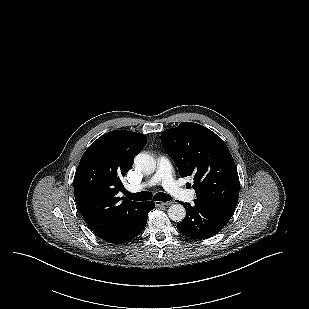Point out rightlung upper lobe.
I'll use <instances>...</instances> for the list:
<instances>
[{
    "mask_svg": "<svg viewBox=\"0 0 309 309\" xmlns=\"http://www.w3.org/2000/svg\"><path fill=\"white\" fill-rule=\"evenodd\" d=\"M141 133L114 130L94 141L83 154L74 176L76 204L90 229L104 236L117 228L141 202L117 196L121 178L146 145Z\"/></svg>",
    "mask_w": 309,
    "mask_h": 309,
    "instance_id": "1",
    "label": "right lung upper lobe"
}]
</instances>
